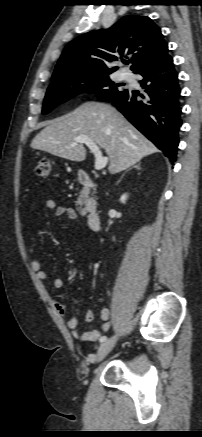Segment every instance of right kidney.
Segmentation results:
<instances>
[{
	"label": "right kidney",
	"instance_id": "1",
	"mask_svg": "<svg viewBox=\"0 0 202 437\" xmlns=\"http://www.w3.org/2000/svg\"><path fill=\"white\" fill-rule=\"evenodd\" d=\"M126 199H127V195H126V194H123V195L121 196V198H120V201H121L122 203H125Z\"/></svg>",
	"mask_w": 202,
	"mask_h": 437
}]
</instances>
